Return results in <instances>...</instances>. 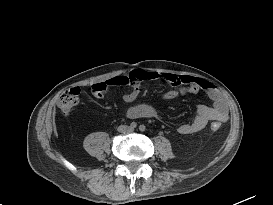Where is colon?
<instances>
[{
    "mask_svg": "<svg viewBox=\"0 0 273 205\" xmlns=\"http://www.w3.org/2000/svg\"><path fill=\"white\" fill-rule=\"evenodd\" d=\"M81 94V90L79 88H71L68 90L63 91L57 101V106L58 109L63 113V114H69L71 113L79 100ZM211 129L213 131H217L220 129V124L217 122H213L211 124Z\"/></svg>",
    "mask_w": 273,
    "mask_h": 205,
    "instance_id": "obj_1",
    "label": "colon"
}]
</instances>
